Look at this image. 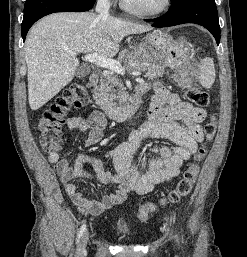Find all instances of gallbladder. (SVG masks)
Segmentation results:
<instances>
[{
	"label": "gallbladder",
	"instance_id": "1",
	"mask_svg": "<svg viewBox=\"0 0 247 257\" xmlns=\"http://www.w3.org/2000/svg\"><path fill=\"white\" fill-rule=\"evenodd\" d=\"M90 73V69L86 66H81L77 69L75 76L77 78H84Z\"/></svg>",
	"mask_w": 247,
	"mask_h": 257
}]
</instances>
